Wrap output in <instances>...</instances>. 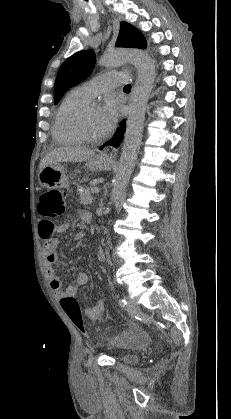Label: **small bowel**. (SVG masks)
Here are the masks:
<instances>
[{
  "label": "small bowel",
  "mask_w": 231,
  "mask_h": 419,
  "mask_svg": "<svg viewBox=\"0 0 231 419\" xmlns=\"http://www.w3.org/2000/svg\"><path fill=\"white\" fill-rule=\"evenodd\" d=\"M81 220L85 223L91 222V215L88 212L80 213ZM70 222H65L60 225H55L50 220H42L38 225V233L43 239V258L46 264L47 274L49 277L50 287L54 295L60 300L65 296L75 297L80 287L88 283V274L86 272H79L75 275L74 280L70 283L65 290L62 289V282L57 275L54 264L57 262V249L59 240L55 234H62L70 228ZM105 311V303L103 300H97L91 307L85 309V315L91 321H99ZM143 341V338L134 334L131 342L133 344Z\"/></svg>",
  "instance_id": "1"
}]
</instances>
